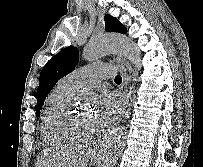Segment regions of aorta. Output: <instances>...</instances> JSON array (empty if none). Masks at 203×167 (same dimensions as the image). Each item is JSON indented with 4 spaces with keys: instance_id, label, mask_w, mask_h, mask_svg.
<instances>
[{
    "instance_id": "762f6f07",
    "label": "aorta",
    "mask_w": 203,
    "mask_h": 167,
    "mask_svg": "<svg viewBox=\"0 0 203 167\" xmlns=\"http://www.w3.org/2000/svg\"><path fill=\"white\" fill-rule=\"evenodd\" d=\"M110 53L125 56L140 70L141 56L139 49L131 39L120 34H106L90 40L83 50V58L87 61H94ZM127 134V128L120 127L108 136L103 147L101 167L114 166L124 149Z\"/></svg>"
}]
</instances>
